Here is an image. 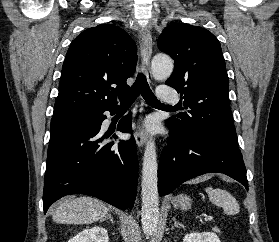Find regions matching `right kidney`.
I'll return each mask as SVG.
<instances>
[{"label":"right kidney","instance_id":"obj_1","mask_svg":"<svg viewBox=\"0 0 279 242\" xmlns=\"http://www.w3.org/2000/svg\"><path fill=\"white\" fill-rule=\"evenodd\" d=\"M68 242H109L107 230L102 226L83 229Z\"/></svg>","mask_w":279,"mask_h":242}]
</instances>
